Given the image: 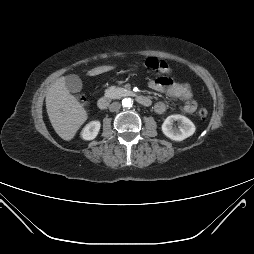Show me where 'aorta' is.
I'll return each instance as SVG.
<instances>
[{
    "label": "aorta",
    "mask_w": 254,
    "mask_h": 254,
    "mask_svg": "<svg viewBox=\"0 0 254 254\" xmlns=\"http://www.w3.org/2000/svg\"><path fill=\"white\" fill-rule=\"evenodd\" d=\"M132 104H133V101H132L131 98H124V99L122 100V105H123L124 107L130 108V107H132Z\"/></svg>",
    "instance_id": "762f6f07"
}]
</instances>
